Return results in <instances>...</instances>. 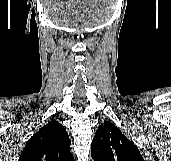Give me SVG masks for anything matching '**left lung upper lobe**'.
Instances as JSON below:
<instances>
[{"mask_svg":"<svg viewBox=\"0 0 171 161\" xmlns=\"http://www.w3.org/2000/svg\"><path fill=\"white\" fill-rule=\"evenodd\" d=\"M94 161H144L136 145L111 122L100 126L91 144Z\"/></svg>","mask_w":171,"mask_h":161,"instance_id":"obj_1","label":"left lung upper lobe"}]
</instances>
